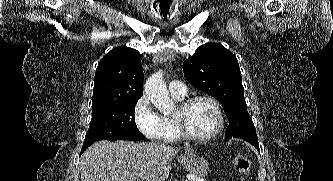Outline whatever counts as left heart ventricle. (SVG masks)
<instances>
[{
  "label": "left heart ventricle",
  "mask_w": 333,
  "mask_h": 181,
  "mask_svg": "<svg viewBox=\"0 0 333 181\" xmlns=\"http://www.w3.org/2000/svg\"><path fill=\"white\" fill-rule=\"evenodd\" d=\"M178 113V109H176L174 115ZM183 117L188 130L197 136L207 135L217 126L216 110L206 100H199L193 103Z\"/></svg>",
  "instance_id": "obj_1"
}]
</instances>
